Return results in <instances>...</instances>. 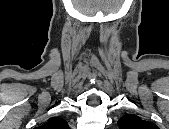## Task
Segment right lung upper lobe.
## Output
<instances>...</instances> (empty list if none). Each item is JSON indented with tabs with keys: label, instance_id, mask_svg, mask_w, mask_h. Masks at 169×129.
<instances>
[{
	"label": "right lung upper lobe",
	"instance_id": "obj_1",
	"mask_svg": "<svg viewBox=\"0 0 169 129\" xmlns=\"http://www.w3.org/2000/svg\"><path fill=\"white\" fill-rule=\"evenodd\" d=\"M41 128L43 129H67L68 123L61 118L52 117Z\"/></svg>",
	"mask_w": 169,
	"mask_h": 129
}]
</instances>
